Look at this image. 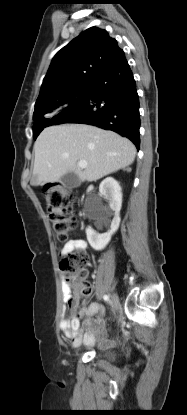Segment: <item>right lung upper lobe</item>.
<instances>
[{"instance_id":"1","label":"right lung upper lobe","mask_w":187,"mask_h":415,"mask_svg":"<svg viewBox=\"0 0 187 415\" xmlns=\"http://www.w3.org/2000/svg\"><path fill=\"white\" fill-rule=\"evenodd\" d=\"M121 53L107 31L96 27L83 31L54 56L35 108L53 104L69 89L90 82Z\"/></svg>"}]
</instances>
